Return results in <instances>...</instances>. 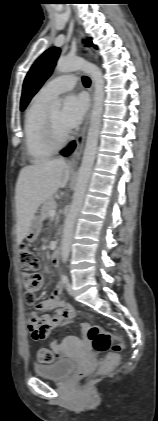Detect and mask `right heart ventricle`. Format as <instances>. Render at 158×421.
<instances>
[{
  "instance_id": "obj_1",
  "label": "right heart ventricle",
  "mask_w": 158,
  "mask_h": 421,
  "mask_svg": "<svg viewBox=\"0 0 158 421\" xmlns=\"http://www.w3.org/2000/svg\"><path fill=\"white\" fill-rule=\"evenodd\" d=\"M48 102L49 99L37 94L25 114V150L32 163H41L55 152V149L47 144L44 136V121Z\"/></svg>"
}]
</instances>
